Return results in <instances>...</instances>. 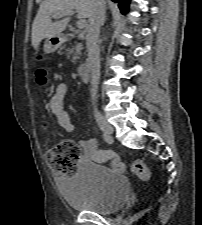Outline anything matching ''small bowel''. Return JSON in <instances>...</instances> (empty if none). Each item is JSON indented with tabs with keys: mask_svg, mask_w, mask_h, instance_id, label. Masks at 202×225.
<instances>
[{
	"mask_svg": "<svg viewBox=\"0 0 202 225\" xmlns=\"http://www.w3.org/2000/svg\"><path fill=\"white\" fill-rule=\"evenodd\" d=\"M68 87L65 83H59L56 87L54 95L49 100V109L55 116L57 124L65 131L72 133L75 128L71 120L70 114L64 108V99L67 94ZM82 154L81 161H91L94 163H106L105 154L110 151L97 149V141L94 138H86L80 141Z\"/></svg>",
	"mask_w": 202,
	"mask_h": 225,
	"instance_id": "small-bowel-1",
	"label": "small bowel"
}]
</instances>
